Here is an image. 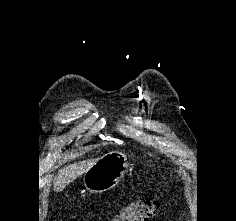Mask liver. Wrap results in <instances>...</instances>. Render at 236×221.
I'll return each instance as SVG.
<instances>
[{
  "label": "liver",
  "instance_id": "obj_1",
  "mask_svg": "<svg viewBox=\"0 0 236 221\" xmlns=\"http://www.w3.org/2000/svg\"><path fill=\"white\" fill-rule=\"evenodd\" d=\"M98 160L99 158L84 160L59 170L54 181V190H62L67 184L88 171Z\"/></svg>",
  "mask_w": 236,
  "mask_h": 221
}]
</instances>
